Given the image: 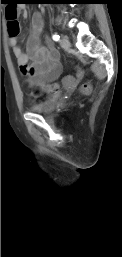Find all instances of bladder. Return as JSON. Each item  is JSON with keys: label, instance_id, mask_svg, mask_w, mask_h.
<instances>
[{"label": "bladder", "instance_id": "bladder-1", "mask_svg": "<svg viewBox=\"0 0 122 257\" xmlns=\"http://www.w3.org/2000/svg\"><path fill=\"white\" fill-rule=\"evenodd\" d=\"M54 101L55 97H50L44 102L34 105L32 110L37 113H47L52 109Z\"/></svg>", "mask_w": 122, "mask_h": 257}]
</instances>
